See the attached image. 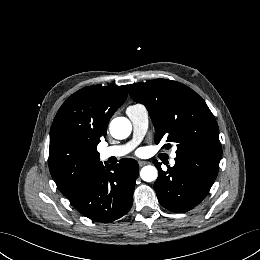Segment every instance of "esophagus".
Wrapping results in <instances>:
<instances>
[{
  "instance_id": "34e87169",
  "label": "esophagus",
  "mask_w": 260,
  "mask_h": 260,
  "mask_svg": "<svg viewBox=\"0 0 260 260\" xmlns=\"http://www.w3.org/2000/svg\"><path fill=\"white\" fill-rule=\"evenodd\" d=\"M138 164L140 167H142V166L148 164V162L147 161H138Z\"/></svg>"
}]
</instances>
